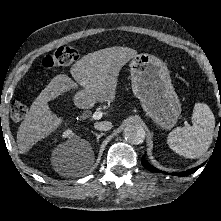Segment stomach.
Wrapping results in <instances>:
<instances>
[{
    "label": "stomach",
    "instance_id": "1",
    "mask_svg": "<svg viewBox=\"0 0 221 221\" xmlns=\"http://www.w3.org/2000/svg\"><path fill=\"white\" fill-rule=\"evenodd\" d=\"M131 84L147 116L162 129L175 126L181 114V103L172 85L170 73L159 58L142 53L131 59ZM77 98L87 99L80 92Z\"/></svg>",
    "mask_w": 221,
    "mask_h": 221
}]
</instances>
